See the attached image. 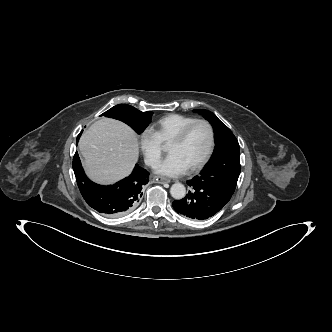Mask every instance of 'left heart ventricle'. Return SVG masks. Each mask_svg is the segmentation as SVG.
I'll list each match as a JSON object with an SVG mask.
<instances>
[{
    "label": "left heart ventricle",
    "instance_id": "obj_1",
    "mask_svg": "<svg viewBox=\"0 0 332 332\" xmlns=\"http://www.w3.org/2000/svg\"><path fill=\"white\" fill-rule=\"evenodd\" d=\"M210 142V131L204 124H196L180 144H169L168 152L178 155L184 163L192 166L207 151Z\"/></svg>",
    "mask_w": 332,
    "mask_h": 332
}]
</instances>
